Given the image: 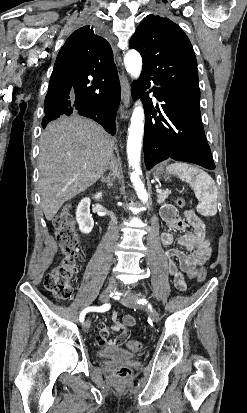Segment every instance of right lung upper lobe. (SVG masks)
<instances>
[{"instance_id": "right-lung-upper-lobe-1", "label": "right lung upper lobe", "mask_w": 247, "mask_h": 413, "mask_svg": "<svg viewBox=\"0 0 247 413\" xmlns=\"http://www.w3.org/2000/svg\"><path fill=\"white\" fill-rule=\"evenodd\" d=\"M116 71L110 44L87 25L73 32L60 49L54 69L82 75H102Z\"/></svg>"}]
</instances>
